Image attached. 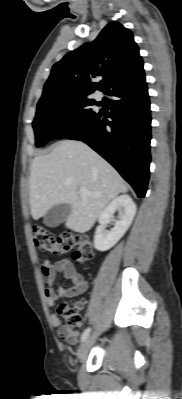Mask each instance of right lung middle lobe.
<instances>
[{
    "label": "right lung middle lobe",
    "instance_id": "right-lung-middle-lobe-1",
    "mask_svg": "<svg viewBox=\"0 0 182 399\" xmlns=\"http://www.w3.org/2000/svg\"><path fill=\"white\" fill-rule=\"evenodd\" d=\"M87 96H57L39 101L33 121L36 146L41 147L51 139L82 129L96 114L90 108L95 101Z\"/></svg>",
    "mask_w": 182,
    "mask_h": 399
}]
</instances>
